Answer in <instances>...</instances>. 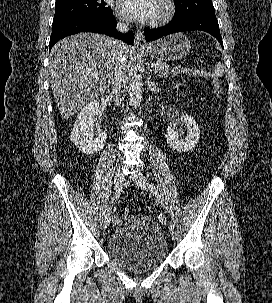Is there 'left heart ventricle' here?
Here are the masks:
<instances>
[{
    "instance_id": "1",
    "label": "left heart ventricle",
    "mask_w": 272,
    "mask_h": 303,
    "mask_svg": "<svg viewBox=\"0 0 272 303\" xmlns=\"http://www.w3.org/2000/svg\"><path fill=\"white\" fill-rule=\"evenodd\" d=\"M162 11H163V7H162L161 2L159 1V2H158L157 14H156V17H155V18H157V17L162 13Z\"/></svg>"
}]
</instances>
